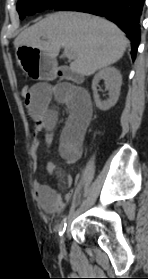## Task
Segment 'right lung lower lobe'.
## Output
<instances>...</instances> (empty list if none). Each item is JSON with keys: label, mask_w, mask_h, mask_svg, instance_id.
Instances as JSON below:
<instances>
[{"label": "right lung lower lobe", "mask_w": 148, "mask_h": 279, "mask_svg": "<svg viewBox=\"0 0 148 279\" xmlns=\"http://www.w3.org/2000/svg\"><path fill=\"white\" fill-rule=\"evenodd\" d=\"M145 0H74L55 7V10H74L103 16L116 23L132 45V59L140 42V20Z\"/></svg>", "instance_id": "right-lung-lower-lobe-1"}]
</instances>
